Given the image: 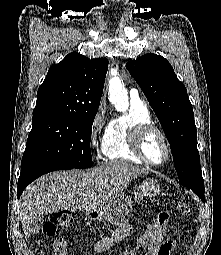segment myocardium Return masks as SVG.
<instances>
[{"label": "myocardium", "mask_w": 221, "mask_h": 255, "mask_svg": "<svg viewBox=\"0 0 221 255\" xmlns=\"http://www.w3.org/2000/svg\"><path fill=\"white\" fill-rule=\"evenodd\" d=\"M151 133L158 134L166 148V157L160 163H156L149 160V158L146 156L144 152V141L147 138V136ZM130 145L133 152L138 156L139 159H141V161H143L147 165L154 167H160L165 165L166 163L169 162L172 155L171 146L167 136L160 128L153 125L152 123H142L135 125L130 133Z\"/></svg>", "instance_id": "1"}]
</instances>
